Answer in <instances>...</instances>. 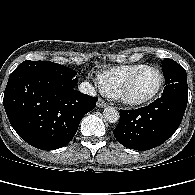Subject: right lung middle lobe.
Returning a JSON list of instances; mask_svg holds the SVG:
<instances>
[{"label": "right lung middle lobe", "mask_w": 195, "mask_h": 195, "mask_svg": "<svg viewBox=\"0 0 195 195\" xmlns=\"http://www.w3.org/2000/svg\"><path fill=\"white\" fill-rule=\"evenodd\" d=\"M16 71H33L43 73L50 78L56 80L61 89H69L75 86L77 72L66 66L56 64L50 61H24L16 69Z\"/></svg>", "instance_id": "obj_1"}]
</instances>
